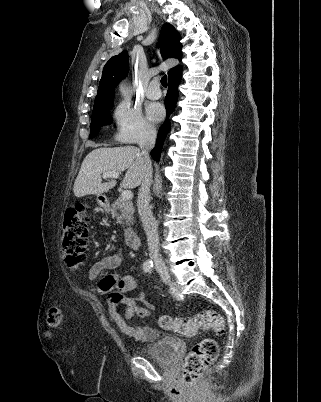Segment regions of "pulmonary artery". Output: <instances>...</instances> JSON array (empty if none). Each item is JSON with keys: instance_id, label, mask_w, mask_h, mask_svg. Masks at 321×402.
Returning <instances> with one entry per match:
<instances>
[{"instance_id": "1", "label": "pulmonary artery", "mask_w": 321, "mask_h": 402, "mask_svg": "<svg viewBox=\"0 0 321 402\" xmlns=\"http://www.w3.org/2000/svg\"><path fill=\"white\" fill-rule=\"evenodd\" d=\"M146 96L151 100H156L161 97V90L159 88V82L157 79H154L150 82L146 90Z\"/></svg>"}]
</instances>
